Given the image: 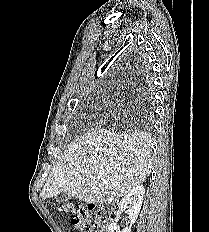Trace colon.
Instances as JSON below:
<instances>
[{
	"label": "colon",
	"mask_w": 209,
	"mask_h": 232,
	"mask_svg": "<svg viewBox=\"0 0 209 232\" xmlns=\"http://www.w3.org/2000/svg\"><path fill=\"white\" fill-rule=\"evenodd\" d=\"M70 224L79 232H92L91 209L74 210L70 216Z\"/></svg>",
	"instance_id": "5ec220e1"
}]
</instances>
